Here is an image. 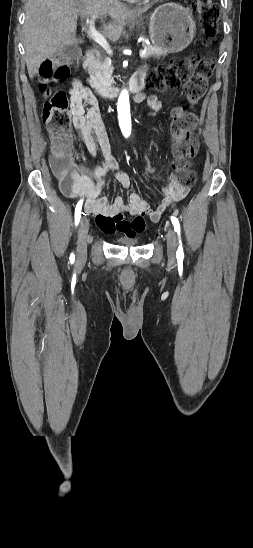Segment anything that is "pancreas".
<instances>
[{
    "label": "pancreas",
    "mask_w": 253,
    "mask_h": 548,
    "mask_svg": "<svg viewBox=\"0 0 253 548\" xmlns=\"http://www.w3.org/2000/svg\"><path fill=\"white\" fill-rule=\"evenodd\" d=\"M146 54L143 59L150 57H161L166 54V51L160 47L152 45H144ZM84 69L88 71L90 75L89 83L92 88L100 90L102 88H108L112 83L113 67L111 60L108 57H98L96 59L87 61L84 64Z\"/></svg>",
    "instance_id": "1"
}]
</instances>
